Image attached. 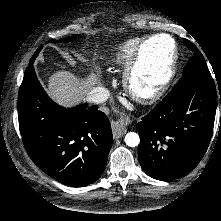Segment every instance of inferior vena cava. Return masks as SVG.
<instances>
[{"label": "inferior vena cava", "mask_w": 221, "mask_h": 221, "mask_svg": "<svg viewBox=\"0 0 221 221\" xmlns=\"http://www.w3.org/2000/svg\"><path fill=\"white\" fill-rule=\"evenodd\" d=\"M110 92L104 87H95L87 95L90 103L101 104L109 98Z\"/></svg>", "instance_id": "inferior-vena-cava-1"}]
</instances>
